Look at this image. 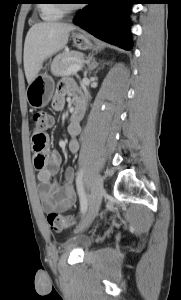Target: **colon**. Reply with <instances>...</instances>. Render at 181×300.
Instances as JSON below:
<instances>
[{"mask_svg":"<svg viewBox=\"0 0 181 300\" xmlns=\"http://www.w3.org/2000/svg\"><path fill=\"white\" fill-rule=\"evenodd\" d=\"M32 124V150L34 152L36 166L41 167L45 159L43 152L48 143V137L45 134V131L53 126L54 117L50 113L39 111L33 114ZM47 222L54 231L66 230L75 223L71 216L56 212H50L48 214Z\"/></svg>","mask_w":181,"mask_h":300,"instance_id":"5ec220e1","label":"colon"}]
</instances>
